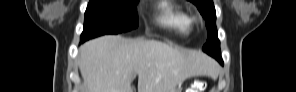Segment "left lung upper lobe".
<instances>
[{
	"mask_svg": "<svg viewBox=\"0 0 296 92\" xmlns=\"http://www.w3.org/2000/svg\"><path fill=\"white\" fill-rule=\"evenodd\" d=\"M194 3L204 19L206 20L208 40L203 46V51L213 56L218 61L221 60L220 42L217 37L216 12L213 0H189Z\"/></svg>",
	"mask_w": 296,
	"mask_h": 92,
	"instance_id": "5c2ea615",
	"label": "left lung upper lobe"
}]
</instances>
